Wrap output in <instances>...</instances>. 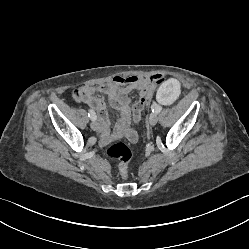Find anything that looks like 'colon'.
Returning <instances> with one entry per match:
<instances>
[{"instance_id": "5ec220e1", "label": "colon", "mask_w": 249, "mask_h": 249, "mask_svg": "<svg viewBox=\"0 0 249 249\" xmlns=\"http://www.w3.org/2000/svg\"><path fill=\"white\" fill-rule=\"evenodd\" d=\"M74 97L77 101L81 99L78 91L74 94ZM147 103L148 101L145 97H140L139 100L136 102L134 106V117L136 122L141 121L142 113L145 110ZM105 153L108 157L116 158L119 160L120 171L122 176L125 178L128 172V164L132 156L129 147L122 142H115L106 148Z\"/></svg>"}]
</instances>
